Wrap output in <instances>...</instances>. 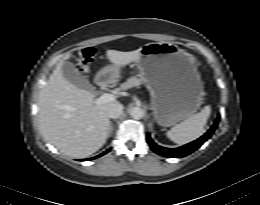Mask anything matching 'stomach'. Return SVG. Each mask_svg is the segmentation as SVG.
I'll return each mask as SVG.
<instances>
[{"mask_svg": "<svg viewBox=\"0 0 260 205\" xmlns=\"http://www.w3.org/2000/svg\"><path fill=\"white\" fill-rule=\"evenodd\" d=\"M140 77L151 95L154 120L169 127L185 120L200 108L204 86L194 57L169 42H153L140 48L136 61ZM119 70L109 65L99 77L113 82Z\"/></svg>", "mask_w": 260, "mask_h": 205, "instance_id": "stomach-1", "label": "stomach"}]
</instances>
